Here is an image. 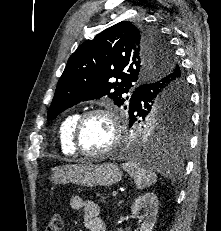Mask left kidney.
<instances>
[{"label":"left kidney","mask_w":221,"mask_h":231,"mask_svg":"<svg viewBox=\"0 0 221 231\" xmlns=\"http://www.w3.org/2000/svg\"><path fill=\"white\" fill-rule=\"evenodd\" d=\"M145 212L139 215L140 211ZM132 214L142 221L140 231H152L157 221L158 215V198L154 193H146L138 197L131 206Z\"/></svg>","instance_id":"left-kidney-1"}]
</instances>
